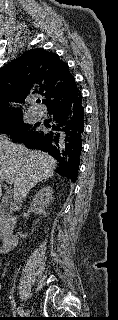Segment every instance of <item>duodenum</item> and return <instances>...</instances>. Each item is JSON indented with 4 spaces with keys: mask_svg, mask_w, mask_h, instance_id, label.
Segmentation results:
<instances>
[{
    "mask_svg": "<svg viewBox=\"0 0 118 320\" xmlns=\"http://www.w3.org/2000/svg\"><path fill=\"white\" fill-rule=\"evenodd\" d=\"M0 235L2 237L1 253H8L17 243V236L14 232L16 219L13 216L4 214L0 216Z\"/></svg>",
    "mask_w": 118,
    "mask_h": 320,
    "instance_id": "duodenum-1",
    "label": "duodenum"
}]
</instances>
